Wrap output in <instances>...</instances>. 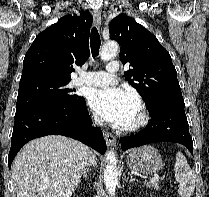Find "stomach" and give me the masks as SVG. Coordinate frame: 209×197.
<instances>
[{
	"mask_svg": "<svg viewBox=\"0 0 209 197\" xmlns=\"http://www.w3.org/2000/svg\"><path fill=\"white\" fill-rule=\"evenodd\" d=\"M126 162L130 169L144 174L156 173L163 165L158 150L150 145L131 150Z\"/></svg>",
	"mask_w": 209,
	"mask_h": 197,
	"instance_id": "0dacf381",
	"label": "stomach"
}]
</instances>
